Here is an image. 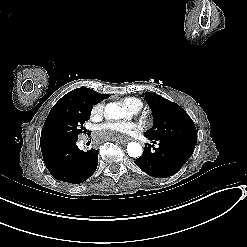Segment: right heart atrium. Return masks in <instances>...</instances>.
Wrapping results in <instances>:
<instances>
[{
    "mask_svg": "<svg viewBox=\"0 0 247 247\" xmlns=\"http://www.w3.org/2000/svg\"><path fill=\"white\" fill-rule=\"evenodd\" d=\"M104 106L102 103L95 104L91 109V117L93 119H99L103 114Z\"/></svg>",
    "mask_w": 247,
    "mask_h": 247,
    "instance_id": "right-heart-atrium-1",
    "label": "right heart atrium"
}]
</instances>
